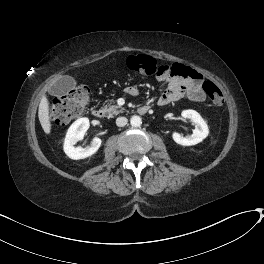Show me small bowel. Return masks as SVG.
Returning <instances> with one entry per match:
<instances>
[{
	"label": "small bowel",
	"mask_w": 264,
	"mask_h": 264,
	"mask_svg": "<svg viewBox=\"0 0 264 264\" xmlns=\"http://www.w3.org/2000/svg\"><path fill=\"white\" fill-rule=\"evenodd\" d=\"M171 70L169 76L160 78V81L168 83V88L158 98V105L163 106L182 98L196 102L205 100L206 95L202 89L203 77L200 74L179 65H174ZM126 93L134 96L137 93V88L130 86L126 89Z\"/></svg>",
	"instance_id": "small-bowel-1"
}]
</instances>
